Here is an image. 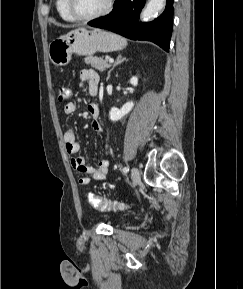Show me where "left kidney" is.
Wrapping results in <instances>:
<instances>
[{
  "label": "left kidney",
  "mask_w": 243,
  "mask_h": 289,
  "mask_svg": "<svg viewBox=\"0 0 243 289\" xmlns=\"http://www.w3.org/2000/svg\"><path fill=\"white\" fill-rule=\"evenodd\" d=\"M130 83L133 86H137L138 84V78L137 77H132L130 79ZM134 103L132 101L127 102L126 104H124L120 109L118 108H111L110 112H109V116H110V120L111 121H118L120 119H122L125 115H127L133 108Z\"/></svg>",
  "instance_id": "5707ae66"
}]
</instances>
